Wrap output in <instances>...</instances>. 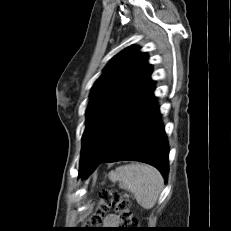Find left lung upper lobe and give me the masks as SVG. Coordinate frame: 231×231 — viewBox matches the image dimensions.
Returning <instances> with one entry per match:
<instances>
[{
  "label": "left lung upper lobe",
  "instance_id": "5c2ea615",
  "mask_svg": "<svg viewBox=\"0 0 231 231\" xmlns=\"http://www.w3.org/2000/svg\"><path fill=\"white\" fill-rule=\"evenodd\" d=\"M152 73L146 53L128 47L105 67L92 87L87 121L82 136L80 166L88 159L96 142L111 120L142 87Z\"/></svg>",
  "mask_w": 231,
  "mask_h": 231
}]
</instances>
